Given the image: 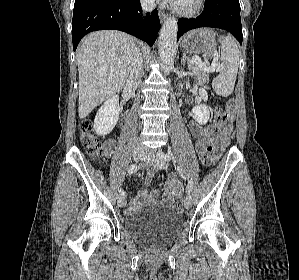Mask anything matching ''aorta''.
Segmentation results:
<instances>
[{"label": "aorta", "mask_w": 299, "mask_h": 280, "mask_svg": "<svg viewBox=\"0 0 299 280\" xmlns=\"http://www.w3.org/2000/svg\"><path fill=\"white\" fill-rule=\"evenodd\" d=\"M178 24L175 18L169 17L163 24L159 35V56L165 74L174 67Z\"/></svg>", "instance_id": "obj_1"}]
</instances>
